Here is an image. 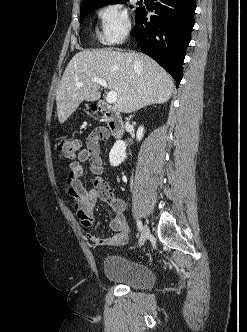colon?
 Instances as JSON below:
<instances>
[{"label": "colon", "mask_w": 247, "mask_h": 332, "mask_svg": "<svg viewBox=\"0 0 247 332\" xmlns=\"http://www.w3.org/2000/svg\"><path fill=\"white\" fill-rule=\"evenodd\" d=\"M56 149L61 157L72 159L80 150V141L76 138L62 136L57 140Z\"/></svg>", "instance_id": "obj_1"}]
</instances>
